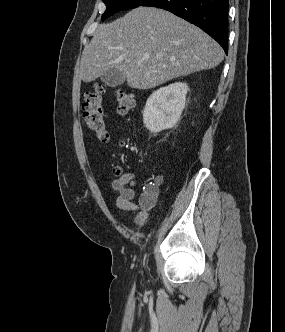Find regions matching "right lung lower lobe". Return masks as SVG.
<instances>
[{
	"instance_id": "98d812e1",
	"label": "right lung lower lobe",
	"mask_w": 285,
	"mask_h": 332,
	"mask_svg": "<svg viewBox=\"0 0 285 332\" xmlns=\"http://www.w3.org/2000/svg\"><path fill=\"white\" fill-rule=\"evenodd\" d=\"M142 6L168 10L195 24L228 52V0H146Z\"/></svg>"
}]
</instances>
